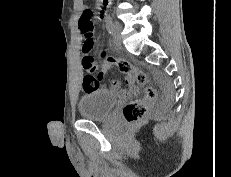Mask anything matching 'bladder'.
<instances>
[{
	"label": "bladder",
	"mask_w": 231,
	"mask_h": 177,
	"mask_svg": "<svg viewBox=\"0 0 231 177\" xmlns=\"http://www.w3.org/2000/svg\"><path fill=\"white\" fill-rule=\"evenodd\" d=\"M117 102V96L106 89L92 90L84 94L78 105L79 115L84 120L106 119Z\"/></svg>",
	"instance_id": "obj_1"
}]
</instances>
